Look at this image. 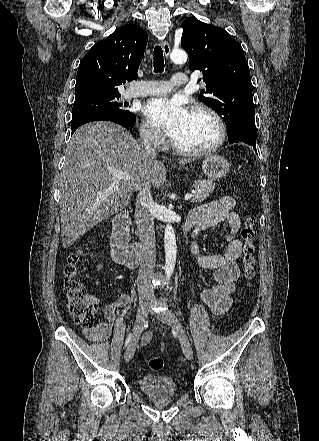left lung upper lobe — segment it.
Masks as SVG:
<instances>
[{
	"instance_id": "obj_1",
	"label": "left lung upper lobe",
	"mask_w": 319,
	"mask_h": 441,
	"mask_svg": "<svg viewBox=\"0 0 319 441\" xmlns=\"http://www.w3.org/2000/svg\"><path fill=\"white\" fill-rule=\"evenodd\" d=\"M181 46L192 71L203 72L206 90L199 100L214 109L227 126L228 139L257 136L249 66L241 45L224 29L196 18L182 22Z\"/></svg>"
}]
</instances>
